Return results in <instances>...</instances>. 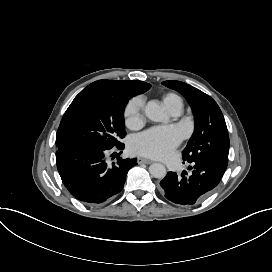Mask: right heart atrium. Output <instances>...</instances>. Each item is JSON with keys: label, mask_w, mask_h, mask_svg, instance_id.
<instances>
[{"label": "right heart atrium", "mask_w": 272, "mask_h": 272, "mask_svg": "<svg viewBox=\"0 0 272 272\" xmlns=\"http://www.w3.org/2000/svg\"><path fill=\"white\" fill-rule=\"evenodd\" d=\"M144 107V100L142 97L137 96L132 98L125 110V119L128 126L135 128L142 122L141 112Z\"/></svg>", "instance_id": "obj_1"}]
</instances>
